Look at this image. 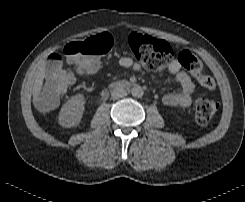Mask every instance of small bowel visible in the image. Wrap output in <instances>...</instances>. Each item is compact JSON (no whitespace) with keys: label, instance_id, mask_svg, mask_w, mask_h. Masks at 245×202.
I'll return each mask as SVG.
<instances>
[{"label":"small bowel","instance_id":"c3829d8e","mask_svg":"<svg viewBox=\"0 0 245 202\" xmlns=\"http://www.w3.org/2000/svg\"><path fill=\"white\" fill-rule=\"evenodd\" d=\"M116 64L120 67L140 71V66L130 57H120L116 59ZM98 66L96 64L88 65L85 70L88 74L97 72ZM170 74L175 76L176 82L179 86L177 92L167 93L163 97V104L169 107H187L191 104L192 96L195 90V85L192 78L187 71L183 70L180 62L175 60L170 63L168 67ZM53 106L41 99L38 104V110L41 114H49Z\"/></svg>","mask_w":245,"mask_h":202}]
</instances>
